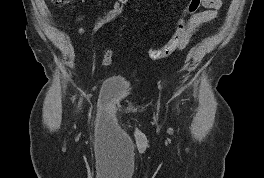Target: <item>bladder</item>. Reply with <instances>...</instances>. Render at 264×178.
Instances as JSON below:
<instances>
[{"instance_id": "31cf9c89", "label": "bladder", "mask_w": 264, "mask_h": 178, "mask_svg": "<svg viewBox=\"0 0 264 178\" xmlns=\"http://www.w3.org/2000/svg\"><path fill=\"white\" fill-rule=\"evenodd\" d=\"M132 91L133 87L128 78L121 74H112L104 80L101 96L112 100H120L129 96Z\"/></svg>"}]
</instances>
